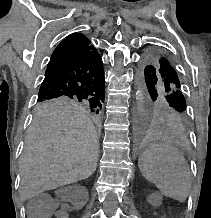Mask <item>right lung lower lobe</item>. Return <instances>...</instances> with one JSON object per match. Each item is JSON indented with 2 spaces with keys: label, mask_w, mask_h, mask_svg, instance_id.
<instances>
[{
  "label": "right lung lower lobe",
  "mask_w": 211,
  "mask_h": 218,
  "mask_svg": "<svg viewBox=\"0 0 211 218\" xmlns=\"http://www.w3.org/2000/svg\"><path fill=\"white\" fill-rule=\"evenodd\" d=\"M104 71L98 52L48 66L38 98L70 97L104 101Z\"/></svg>",
  "instance_id": "obj_1"
}]
</instances>
